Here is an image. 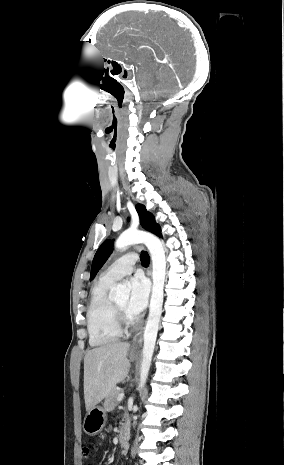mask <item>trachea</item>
Instances as JSON below:
<instances>
[{
	"label": "trachea",
	"instance_id": "3493384b",
	"mask_svg": "<svg viewBox=\"0 0 284 465\" xmlns=\"http://www.w3.org/2000/svg\"><path fill=\"white\" fill-rule=\"evenodd\" d=\"M142 265H149L150 257L147 252H142L140 255Z\"/></svg>",
	"mask_w": 284,
	"mask_h": 465
}]
</instances>
